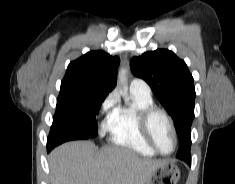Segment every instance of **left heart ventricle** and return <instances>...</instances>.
<instances>
[{"mask_svg":"<svg viewBox=\"0 0 235 184\" xmlns=\"http://www.w3.org/2000/svg\"><path fill=\"white\" fill-rule=\"evenodd\" d=\"M153 137L159 150L169 154L175 147V138L173 132L161 115H156L152 122Z\"/></svg>","mask_w":235,"mask_h":184,"instance_id":"left-heart-ventricle-1","label":"left heart ventricle"}]
</instances>
